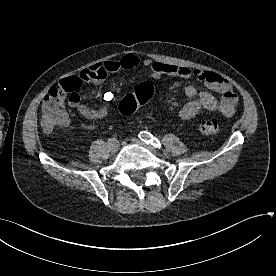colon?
I'll list each match as a JSON object with an SVG mask.
<instances>
[{
  "mask_svg": "<svg viewBox=\"0 0 276 276\" xmlns=\"http://www.w3.org/2000/svg\"><path fill=\"white\" fill-rule=\"evenodd\" d=\"M79 79L67 78L56 83L48 92V107L42 109V127L46 132L65 127L68 117L63 109V99L73 96L81 87ZM158 92L157 86L152 82L139 83L133 92L126 94L119 103V111L124 115L134 113L139 106L148 103ZM198 130L205 135H215L220 131L217 119H206L199 123Z\"/></svg>",
  "mask_w": 276,
  "mask_h": 276,
  "instance_id": "1",
  "label": "colon"
}]
</instances>
